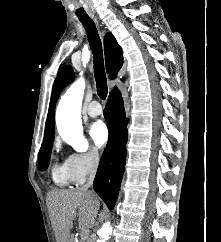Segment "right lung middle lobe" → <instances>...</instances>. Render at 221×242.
<instances>
[{
  "mask_svg": "<svg viewBox=\"0 0 221 242\" xmlns=\"http://www.w3.org/2000/svg\"><path fill=\"white\" fill-rule=\"evenodd\" d=\"M53 146V138H46L43 140L39 151L38 165L40 171L47 170L50 162V155Z\"/></svg>",
  "mask_w": 221,
  "mask_h": 242,
  "instance_id": "1",
  "label": "right lung middle lobe"
}]
</instances>
